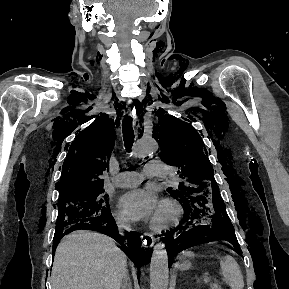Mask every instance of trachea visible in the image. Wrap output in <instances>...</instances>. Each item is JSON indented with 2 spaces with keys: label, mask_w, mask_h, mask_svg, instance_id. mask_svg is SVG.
Instances as JSON below:
<instances>
[{
  "label": "trachea",
  "mask_w": 289,
  "mask_h": 289,
  "mask_svg": "<svg viewBox=\"0 0 289 289\" xmlns=\"http://www.w3.org/2000/svg\"><path fill=\"white\" fill-rule=\"evenodd\" d=\"M122 133L124 138V146L128 152L131 151L134 142V130L132 127V118L125 117L122 122Z\"/></svg>",
  "instance_id": "obj_1"
}]
</instances>
